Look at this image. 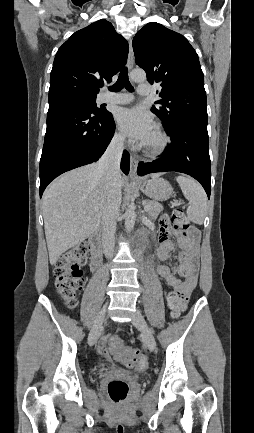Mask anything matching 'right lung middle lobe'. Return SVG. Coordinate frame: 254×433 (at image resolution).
I'll use <instances>...</instances> for the list:
<instances>
[{
  "instance_id": "right-lung-middle-lobe-1",
  "label": "right lung middle lobe",
  "mask_w": 254,
  "mask_h": 433,
  "mask_svg": "<svg viewBox=\"0 0 254 433\" xmlns=\"http://www.w3.org/2000/svg\"><path fill=\"white\" fill-rule=\"evenodd\" d=\"M95 100H96V98H94V99H70V100H66V101L87 107L88 109H90L95 114H100V113L106 112V110H104V109L97 108Z\"/></svg>"
}]
</instances>
